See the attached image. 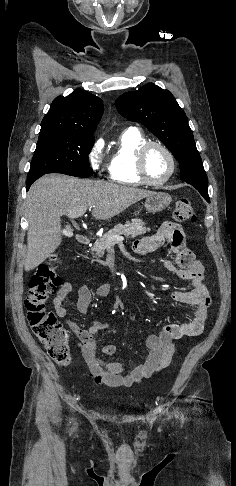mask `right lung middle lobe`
<instances>
[{
	"mask_svg": "<svg viewBox=\"0 0 236 486\" xmlns=\"http://www.w3.org/2000/svg\"><path fill=\"white\" fill-rule=\"evenodd\" d=\"M94 140L93 135L61 131L40 132L27 178L47 173L92 176L88 154Z\"/></svg>",
	"mask_w": 236,
	"mask_h": 486,
	"instance_id": "right-lung-middle-lobe-1",
	"label": "right lung middle lobe"
}]
</instances>
